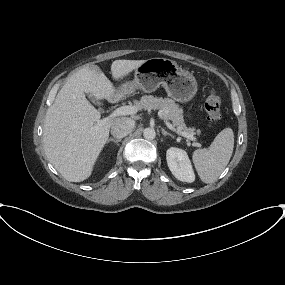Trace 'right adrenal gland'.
<instances>
[{
    "label": "right adrenal gland",
    "mask_w": 285,
    "mask_h": 285,
    "mask_svg": "<svg viewBox=\"0 0 285 285\" xmlns=\"http://www.w3.org/2000/svg\"><path fill=\"white\" fill-rule=\"evenodd\" d=\"M109 142H114L115 144H118L119 142H121V139L109 138L107 140V143H109Z\"/></svg>",
    "instance_id": "right-adrenal-gland-1"
}]
</instances>
